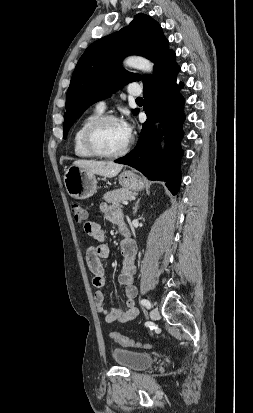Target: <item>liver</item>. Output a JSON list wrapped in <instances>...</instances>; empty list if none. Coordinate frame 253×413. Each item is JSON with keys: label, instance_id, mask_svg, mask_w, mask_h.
<instances>
[{"label": "liver", "instance_id": "liver-1", "mask_svg": "<svg viewBox=\"0 0 253 413\" xmlns=\"http://www.w3.org/2000/svg\"><path fill=\"white\" fill-rule=\"evenodd\" d=\"M73 165L83 168L92 174L109 178L116 176L123 168V164L96 160H77Z\"/></svg>", "mask_w": 253, "mask_h": 413}]
</instances>
